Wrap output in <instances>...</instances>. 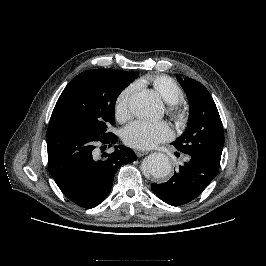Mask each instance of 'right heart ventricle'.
I'll return each instance as SVG.
<instances>
[{
	"mask_svg": "<svg viewBox=\"0 0 266 266\" xmlns=\"http://www.w3.org/2000/svg\"><path fill=\"white\" fill-rule=\"evenodd\" d=\"M140 84H151L169 105L179 104L184 99V92L180 85L166 75H155L143 78Z\"/></svg>",
	"mask_w": 266,
	"mask_h": 266,
	"instance_id": "e07e8e85",
	"label": "right heart ventricle"
}]
</instances>
